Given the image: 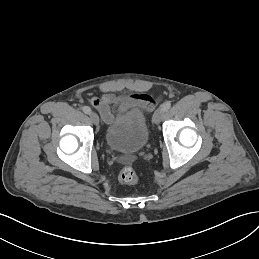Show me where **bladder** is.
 <instances>
[{
  "label": "bladder",
  "instance_id": "1",
  "mask_svg": "<svg viewBox=\"0 0 259 259\" xmlns=\"http://www.w3.org/2000/svg\"><path fill=\"white\" fill-rule=\"evenodd\" d=\"M149 141L146 116L139 108H132L116 116L105 132V142L114 152L130 154L144 150Z\"/></svg>",
  "mask_w": 259,
  "mask_h": 259
}]
</instances>
